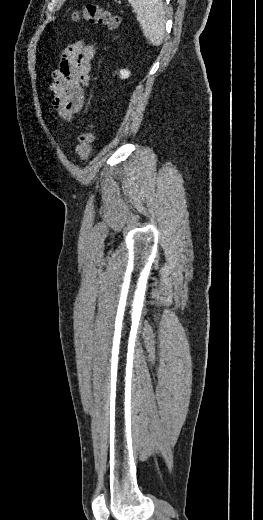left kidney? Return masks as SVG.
Wrapping results in <instances>:
<instances>
[{
  "label": "left kidney",
  "mask_w": 263,
  "mask_h": 520,
  "mask_svg": "<svg viewBox=\"0 0 263 520\" xmlns=\"http://www.w3.org/2000/svg\"><path fill=\"white\" fill-rule=\"evenodd\" d=\"M119 73H120L121 79H126L130 76V71H128L126 69H121Z\"/></svg>",
  "instance_id": "1"
}]
</instances>
